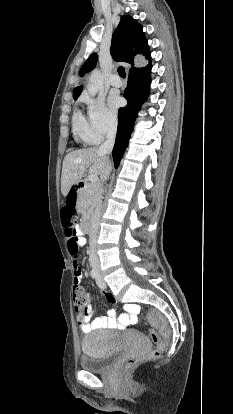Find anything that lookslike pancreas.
Instances as JSON below:
<instances>
[{
	"label": "pancreas",
	"instance_id": "cf45deb5",
	"mask_svg": "<svg viewBox=\"0 0 233 414\" xmlns=\"http://www.w3.org/2000/svg\"><path fill=\"white\" fill-rule=\"evenodd\" d=\"M97 200V187L87 184L83 193L79 196L78 209L83 217H88Z\"/></svg>",
	"mask_w": 233,
	"mask_h": 414
}]
</instances>
